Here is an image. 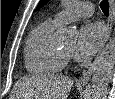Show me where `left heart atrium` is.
<instances>
[{
	"mask_svg": "<svg viewBox=\"0 0 115 99\" xmlns=\"http://www.w3.org/2000/svg\"><path fill=\"white\" fill-rule=\"evenodd\" d=\"M105 38L106 32L101 23L94 22L84 25L79 32L74 50L75 56L80 60L89 59L100 48Z\"/></svg>",
	"mask_w": 115,
	"mask_h": 99,
	"instance_id": "39dd6f15",
	"label": "left heart atrium"
}]
</instances>
